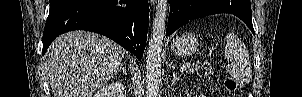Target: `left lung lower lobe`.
Instances as JSON below:
<instances>
[{
    "instance_id": "obj_1",
    "label": "left lung lower lobe",
    "mask_w": 302,
    "mask_h": 97,
    "mask_svg": "<svg viewBox=\"0 0 302 97\" xmlns=\"http://www.w3.org/2000/svg\"><path fill=\"white\" fill-rule=\"evenodd\" d=\"M217 13L236 15L254 33L250 0H171L166 35L195 18Z\"/></svg>"
}]
</instances>
